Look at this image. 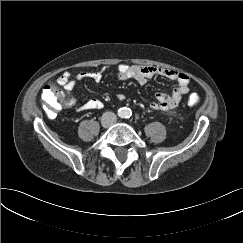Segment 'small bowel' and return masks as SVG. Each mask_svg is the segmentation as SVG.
I'll return each instance as SVG.
<instances>
[{
  "instance_id": "c3829d8e",
  "label": "small bowel",
  "mask_w": 243,
  "mask_h": 243,
  "mask_svg": "<svg viewBox=\"0 0 243 243\" xmlns=\"http://www.w3.org/2000/svg\"><path fill=\"white\" fill-rule=\"evenodd\" d=\"M102 76L101 70L81 72L75 76L65 72L58 77L57 84L62 86L66 91L71 92L75 88L77 81L82 79H92L99 83L102 80ZM156 76H162L172 80L176 82L177 86L170 94L164 92L157 93L155 101L150 104L151 109L167 111L176 108L183 96H185L190 89V79L186 74L156 66L128 65L124 63L117 66V79L120 81L134 79L140 84H146L149 79ZM117 98L123 100L124 95L119 94ZM76 102L75 98H71L68 105L74 106L77 111L98 110L104 106L103 102L99 99H90L79 107H76Z\"/></svg>"
}]
</instances>
